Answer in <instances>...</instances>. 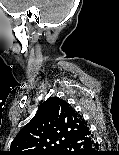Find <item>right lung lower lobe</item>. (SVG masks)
<instances>
[{
  "instance_id": "1",
  "label": "right lung lower lobe",
  "mask_w": 119,
  "mask_h": 155,
  "mask_svg": "<svg viewBox=\"0 0 119 155\" xmlns=\"http://www.w3.org/2000/svg\"><path fill=\"white\" fill-rule=\"evenodd\" d=\"M98 143L94 141L93 135L88 127L80 134L70 139L57 155H99Z\"/></svg>"
}]
</instances>
